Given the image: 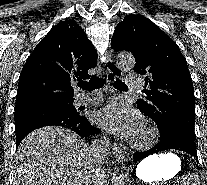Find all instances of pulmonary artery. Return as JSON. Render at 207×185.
Here are the masks:
<instances>
[{
    "label": "pulmonary artery",
    "instance_id": "pulmonary-artery-1",
    "mask_svg": "<svg viewBox=\"0 0 207 185\" xmlns=\"http://www.w3.org/2000/svg\"><path fill=\"white\" fill-rule=\"evenodd\" d=\"M128 82V91H139V86H142V77H126ZM101 93H92L84 96V103L95 102L100 99Z\"/></svg>",
    "mask_w": 207,
    "mask_h": 185
}]
</instances>
